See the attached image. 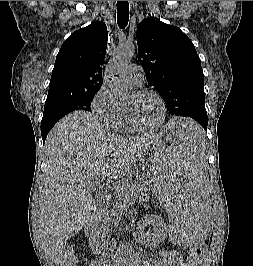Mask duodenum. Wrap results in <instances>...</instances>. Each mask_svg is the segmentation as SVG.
<instances>
[{
    "label": "duodenum",
    "mask_w": 253,
    "mask_h": 266,
    "mask_svg": "<svg viewBox=\"0 0 253 266\" xmlns=\"http://www.w3.org/2000/svg\"><path fill=\"white\" fill-rule=\"evenodd\" d=\"M92 231V228H90L89 229V231L88 232H91ZM101 264L103 263V262H105L106 263V266H110V263H111V260L109 259V258H106L105 260H98Z\"/></svg>",
    "instance_id": "obj_1"
}]
</instances>
